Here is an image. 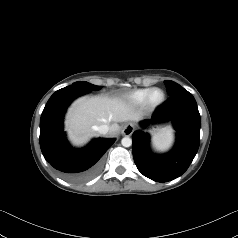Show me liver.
<instances>
[{"label":"liver","mask_w":238,"mask_h":238,"mask_svg":"<svg viewBox=\"0 0 238 238\" xmlns=\"http://www.w3.org/2000/svg\"><path fill=\"white\" fill-rule=\"evenodd\" d=\"M142 113L124 99L114 97H82L71 105L65 122L68 138L75 146H81L98 135L97 127L109 126V135L115 136L118 122L139 121Z\"/></svg>","instance_id":"obj_1"}]
</instances>
